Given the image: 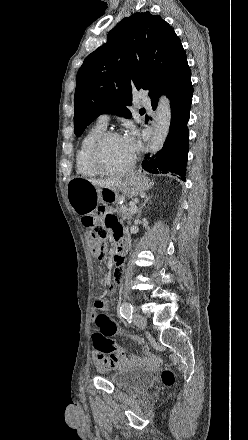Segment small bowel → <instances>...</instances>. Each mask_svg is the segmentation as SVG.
I'll return each mask as SVG.
<instances>
[{
  "label": "small bowel",
  "instance_id": "obj_1",
  "mask_svg": "<svg viewBox=\"0 0 248 440\" xmlns=\"http://www.w3.org/2000/svg\"><path fill=\"white\" fill-rule=\"evenodd\" d=\"M103 224L104 226L111 232V234L113 235L114 239L117 242H123V228L121 223L119 222V220L117 219V217L111 213V212H107L104 217H103ZM100 269H105V261H100ZM114 264H115V269H114V278H115V282L119 283L122 279V275H123V267L125 264V259L124 257H115L114 259ZM107 286L108 287H113L114 286V281L113 280H108L107 281ZM116 291L117 292H122L123 291V286L122 285H117L116 286ZM115 297V290L114 289H109L108 294H107V299L106 300H97L94 303L93 306V311L94 313H98V312H102L107 310L110 305L112 304V301ZM152 360L151 356L145 357V358H139L137 356H132L129 360L127 359L126 363H130V364H140V363H145V362H149ZM94 362L96 365V368L99 371H104L106 369V367H108V365L106 364L105 361H103L102 359H100L98 353L95 354L94 357Z\"/></svg>",
  "mask_w": 248,
  "mask_h": 440
}]
</instances>
